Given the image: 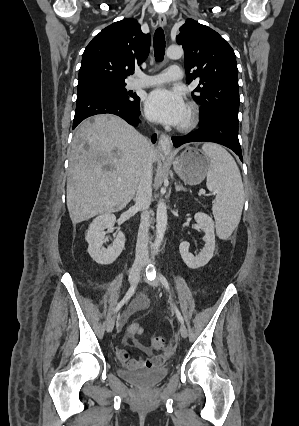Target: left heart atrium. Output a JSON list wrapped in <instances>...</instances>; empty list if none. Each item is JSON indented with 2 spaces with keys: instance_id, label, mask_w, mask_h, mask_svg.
<instances>
[{
  "instance_id": "left-heart-atrium-1",
  "label": "left heart atrium",
  "mask_w": 299,
  "mask_h": 426,
  "mask_svg": "<svg viewBox=\"0 0 299 426\" xmlns=\"http://www.w3.org/2000/svg\"><path fill=\"white\" fill-rule=\"evenodd\" d=\"M147 116L167 125H181L186 117L187 106L178 91L158 88L145 99Z\"/></svg>"
}]
</instances>
